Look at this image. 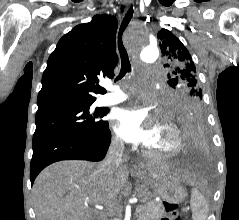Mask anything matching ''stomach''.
Wrapping results in <instances>:
<instances>
[{"label": "stomach", "instance_id": "1", "mask_svg": "<svg viewBox=\"0 0 239 220\" xmlns=\"http://www.w3.org/2000/svg\"><path fill=\"white\" fill-rule=\"evenodd\" d=\"M143 186H151L152 192H156L159 195L165 205H162L160 212V220H185L187 212L185 205H178L187 196L186 189L175 177L166 176V178L155 179V183H142Z\"/></svg>", "mask_w": 239, "mask_h": 220}]
</instances>
